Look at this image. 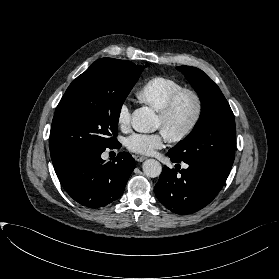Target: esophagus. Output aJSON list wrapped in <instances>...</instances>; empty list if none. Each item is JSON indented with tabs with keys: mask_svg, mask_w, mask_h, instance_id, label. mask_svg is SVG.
I'll return each instance as SVG.
<instances>
[{
	"mask_svg": "<svg viewBox=\"0 0 279 279\" xmlns=\"http://www.w3.org/2000/svg\"><path fill=\"white\" fill-rule=\"evenodd\" d=\"M134 158L138 162H142V161H144L146 159L145 156H140V155H135Z\"/></svg>",
	"mask_w": 279,
	"mask_h": 279,
	"instance_id": "esophagus-1",
	"label": "esophagus"
}]
</instances>
